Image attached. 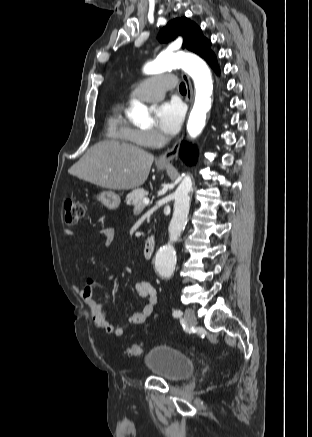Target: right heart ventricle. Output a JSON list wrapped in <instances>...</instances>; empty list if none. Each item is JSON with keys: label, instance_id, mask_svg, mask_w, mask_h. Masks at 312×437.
<instances>
[{"label": "right heart ventricle", "instance_id": "obj_1", "mask_svg": "<svg viewBox=\"0 0 312 437\" xmlns=\"http://www.w3.org/2000/svg\"><path fill=\"white\" fill-rule=\"evenodd\" d=\"M139 130L134 128L122 113V107L116 106L107 119L108 137L118 143L136 146L144 145Z\"/></svg>", "mask_w": 312, "mask_h": 437}]
</instances>
